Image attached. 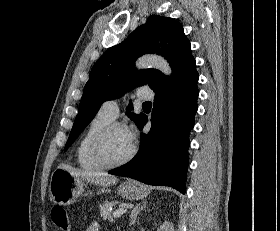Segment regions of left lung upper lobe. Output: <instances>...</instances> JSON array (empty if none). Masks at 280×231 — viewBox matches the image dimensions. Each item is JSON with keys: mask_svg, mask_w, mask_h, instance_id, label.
Returning a JSON list of instances; mask_svg holds the SVG:
<instances>
[{"mask_svg": "<svg viewBox=\"0 0 280 231\" xmlns=\"http://www.w3.org/2000/svg\"><path fill=\"white\" fill-rule=\"evenodd\" d=\"M147 53L167 59L173 71L170 79L156 69L134 70L135 60ZM194 69L195 59L182 25L172 18L150 16L122 43L109 48L93 66L64 150L91 122L103 102L116 99L135 86L148 84L156 92ZM132 109L128 106L126 110L130 112ZM139 115L128 114L135 123Z\"/></svg>", "mask_w": 280, "mask_h": 231, "instance_id": "5c2ea615", "label": "left lung upper lobe"}]
</instances>
